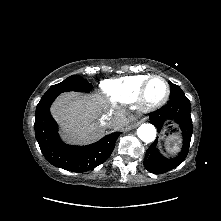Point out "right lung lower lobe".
I'll return each instance as SVG.
<instances>
[{
    "instance_id": "obj_1",
    "label": "right lung lower lobe",
    "mask_w": 221,
    "mask_h": 221,
    "mask_svg": "<svg viewBox=\"0 0 221 221\" xmlns=\"http://www.w3.org/2000/svg\"><path fill=\"white\" fill-rule=\"evenodd\" d=\"M58 95L42 97L36 107L35 137L46 160L72 172H85L104 163L120 133L115 132L88 146H71L61 141L50 106Z\"/></svg>"
}]
</instances>
